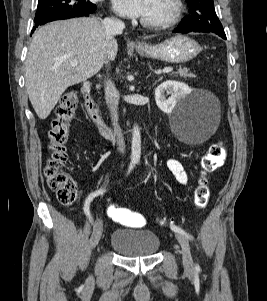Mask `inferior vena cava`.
Here are the masks:
<instances>
[{"mask_svg":"<svg viewBox=\"0 0 267 301\" xmlns=\"http://www.w3.org/2000/svg\"><path fill=\"white\" fill-rule=\"evenodd\" d=\"M102 25L105 28L106 40L110 41L116 34L122 33L125 25L118 19L105 18L102 21ZM108 64V61L105 62ZM105 100L111 113V121L113 125L114 134L116 136V142L118 151L122 154L125 153V141L122 134V130L119 126L118 120V105H119V93L115 85L110 81L105 82Z\"/></svg>","mask_w":267,"mask_h":301,"instance_id":"obj_1","label":"inferior vena cava"}]
</instances>
